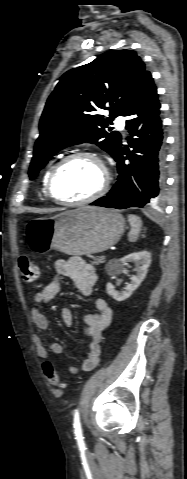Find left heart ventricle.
Here are the masks:
<instances>
[{
  "instance_id": "1",
  "label": "left heart ventricle",
  "mask_w": 187,
  "mask_h": 479,
  "mask_svg": "<svg viewBox=\"0 0 187 479\" xmlns=\"http://www.w3.org/2000/svg\"><path fill=\"white\" fill-rule=\"evenodd\" d=\"M103 171L93 160L78 158L67 163L54 180V192L60 199L78 200L93 194L101 185Z\"/></svg>"
}]
</instances>
